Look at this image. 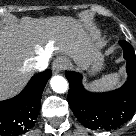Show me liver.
<instances>
[{"label": "liver", "instance_id": "obj_1", "mask_svg": "<svg viewBox=\"0 0 136 136\" xmlns=\"http://www.w3.org/2000/svg\"><path fill=\"white\" fill-rule=\"evenodd\" d=\"M102 45L94 31L67 17H25L19 24L6 23L0 27V100L26 83L35 56L49 58L54 50H60L86 68Z\"/></svg>", "mask_w": 136, "mask_h": 136}]
</instances>
